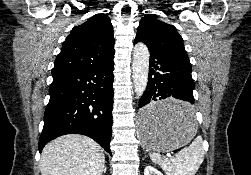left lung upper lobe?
<instances>
[{"label": "left lung upper lobe", "mask_w": 251, "mask_h": 175, "mask_svg": "<svg viewBox=\"0 0 251 175\" xmlns=\"http://www.w3.org/2000/svg\"><path fill=\"white\" fill-rule=\"evenodd\" d=\"M136 39L144 42L148 48L159 50L188 63L189 57L184 49L183 39L176 28L159 19L155 14H146L140 20Z\"/></svg>", "instance_id": "obj_1"}]
</instances>
